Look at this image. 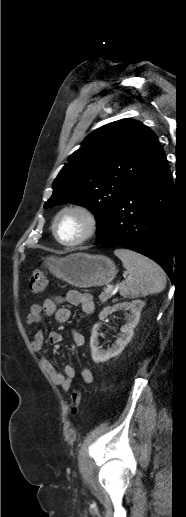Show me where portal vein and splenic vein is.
<instances>
[{"instance_id": "18ae733b", "label": "portal vein and splenic vein", "mask_w": 186, "mask_h": 517, "mask_svg": "<svg viewBox=\"0 0 186 517\" xmlns=\"http://www.w3.org/2000/svg\"><path fill=\"white\" fill-rule=\"evenodd\" d=\"M105 291H106V292H112V291H114V286H113V285H109Z\"/></svg>"}]
</instances>
